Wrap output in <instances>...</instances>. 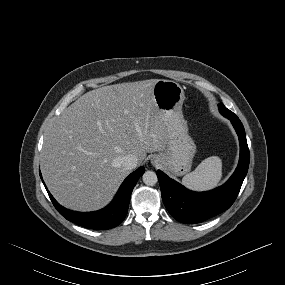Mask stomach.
<instances>
[{
  "instance_id": "obj_1",
  "label": "stomach",
  "mask_w": 285,
  "mask_h": 285,
  "mask_svg": "<svg viewBox=\"0 0 285 285\" xmlns=\"http://www.w3.org/2000/svg\"><path fill=\"white\" fill-rule=\"evenodd\" d=\"M153 97L167 135L164 152L155 158L166 170L177 176L184 175L190 171L196 153L182 113L184 90L175 81L161 79L153 87Z\"/></svg>"
}]
</instances>
